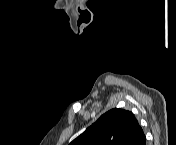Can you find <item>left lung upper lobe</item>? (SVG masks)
I'll return each mask as SVG.
<instances>
[{
    "mask_svg": "<svg viewBox=\"0 0 176 145\" xmlns=\"http://www.w3.org/2000/svg\"><path fill=\"white\" fill-rule=\"evenodd\" d=\"M146 137L134 114L114 108L103 114L70 145H143Z\"/></svg>",
    "mask_w": 176,
    "mask_h": 145,
    "instance_id": "1",
    "label": "left lung upper lobe"
}]
</instances>
